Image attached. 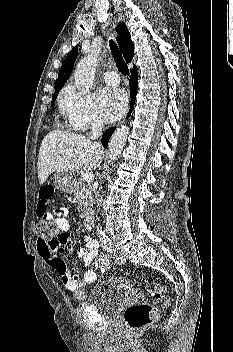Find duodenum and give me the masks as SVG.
Wrapping results in <instances>:
<instances>
[{
    "label": "duodenum",
    "mask_w": 233,
    "mask_h": 352,
    "mask_svg": "<svg viewBox=\"0 0 233 352\" xmlns=\"http://www.w3.org/2000/svg\"><path fill=\"white\" fill-rule=\"evenodd\" d=\"M84 219L88 225L92 226L94 224L93 214L91 210L89 209L85 210Z\"/></svg>",
    "instance_id": "obj_1"
}]
</instances>
